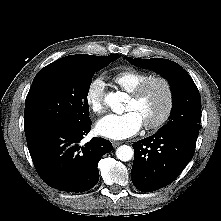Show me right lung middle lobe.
<instances>
[{"label": "right lung middle lobe", "instance_id": "right-lung-middle-lobe-1", "mask_svg": "<svg viewBox=\"0 0 221 221\" xmlns=\"http://www.w3.org/2000/svg\"><path fill=\"white\" fill-rule=\"evenodd\" d=\"M119 57H63L42 68L25 101V135L53 124L90 122L87 95L92 76Z\"/></svg>", "mask_w": 221, "mask_h": 221}]
</instances>
